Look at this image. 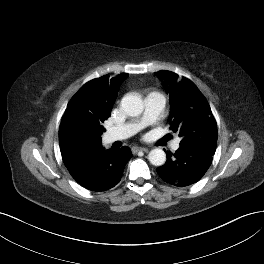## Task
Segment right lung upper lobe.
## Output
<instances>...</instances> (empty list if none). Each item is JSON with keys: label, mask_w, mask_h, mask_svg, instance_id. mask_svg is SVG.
<instances>
[{"label": "right lung upper lobe", "mask_w": 264, "mask_h": 264, "mask_svg": "<svg viewBox=\"0 0 264 264\" xmlns=\"http://www.w3.org/2000/svg\"><path fill=\"white\" fill-rule=\"evenodd\" d=\"M128 77L102 76L86 83L72 97L64 113L60 130V146L73 143L76 138L94 140L102 123L110 116L121 83Z\"/></svg>", "instance_id": "1"}]
</instances>
